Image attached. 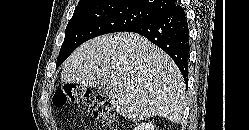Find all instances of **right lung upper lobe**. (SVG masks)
I'll use <instances>...</instances> for the list:
<instances>
[{"mask_svg": "<svg viewBox=\"0 0 249 130\" xmlns=\"http://www.w3.org/2000/svg\"><path fill=\"white\" fill-rule=\"evenodd\" d=\"M99 1H116L118 3H128L149 11H153L157 14H161L176 5L175 0H80L77 7Z\"/></svg>", "mask_w": 249, "mask_h": 130, "instance_id": "obj_1", "label": "right lung upper lobe"}]
</instances>
